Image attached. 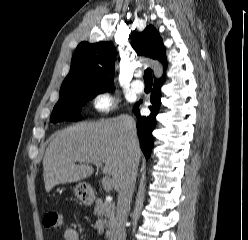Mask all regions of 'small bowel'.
I'll return each mask as SVG.
<instances>
[{"label": "small bowel", "instance_id": "obj_1", "mask_svg": "<svg viewBox=\"0 0 248 240\" xmlns=\"http://www.w3.org/2000/svg\"><path fill=\"white\" fill-rule=\"evenodd\" d=\"M63 240H80L78 232L73 228H68L63 232Z\"/></svg>", "mask_w": 248, "mask_h": 240}]
</instances>
